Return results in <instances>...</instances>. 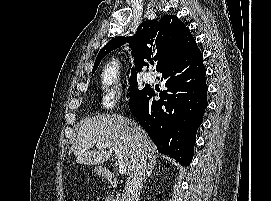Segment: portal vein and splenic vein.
Here are the masks:
<instances>
[{"label": "portal vein and splenic vein", "instance_id": "18ae733b", "mask_svg": "<svg viewBox=\"0 0 271 201\" xmlns=\"http://www.w3.org/2000/svg\"><path fill=\"white\" fill-rule=\"evenodd\" d=\"M97 148H102L103 145L102 144H97L96 145ZM111 150L114 151L115 155H116V158L118 159V170H119V173L120 174H124L126 172V164L125 162L123 161V155L122 153L120 152V150L116 147H111Z\"/></svg>", "mask_w": 271, "mask_h": 201}]
</instances>
